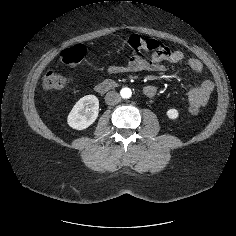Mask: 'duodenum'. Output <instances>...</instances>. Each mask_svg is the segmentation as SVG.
Instances as JSON below:
<instances>
[{
  "label": "duodenum",
  "mask_w": 236,
  "mask_h": 236,
  "mask_svg": "<svg viewBox=\"0 0 236 236\" xmlns=\"http://www.w3.org/2000/svg\"><path fill=\"white\" fill-rule=\"evenodd\" d=\"M118 86V83L113 80H105L102 82H99L96 86L95 89L99 93H107L113 89H115Z\"/></svg>",
  "instance_id": "duodenum-1"
}]
</instances>
